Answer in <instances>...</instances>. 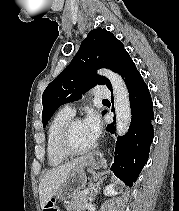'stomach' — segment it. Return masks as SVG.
<instances>
[{
    "instance_id": "0dacf381",
    "label": "stomach",
    "mask_w": 179,
    "mask_h": 211,
    "mask_svg": "<svg viewBox=\"0 0 179 211\" xmlns=\"http://www.w3.org/2000/svg\"><path fill=\"white\" fill-rule=\"evenodd\" d=\"M92 162L93 160L89 159L82 166H78L77 168L73 169L67 180L55 195V198L58 200H67L77 192L81 191L87 182L85 168L90 166Z\"/></svg>"
}]
</instances>
